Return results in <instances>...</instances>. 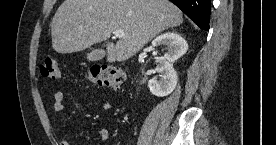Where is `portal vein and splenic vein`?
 I'll use <instances>...</instances> for the list:
<instances>
[{
    "instance_id": "obj_1",
    "label": "portal vein and splenic vein",
    "mask_w": 276,
    "mask_h": 145,
    "mask_svg": "<svg viewBox=\"0 0 276 145\" xmlns=\"http://www.w3.org/2000/svg\"><path fill=\"white\" fill-rule=\"evenodd\" d=\"M113 34L115 35V37H119V38L125 37V32L122 29L114 30Z\"/></svg>"
}]
</instances>
